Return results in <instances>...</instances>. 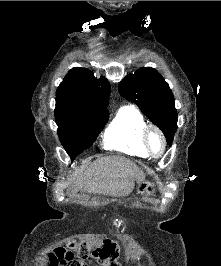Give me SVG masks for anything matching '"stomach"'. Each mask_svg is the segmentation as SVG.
I'll return each instance as SVG.
<instances>
[{
	"instance_id": "1",
	"label": "stomach",
	"mask_w": 221,
	"mask_h": 266,
	"mask_svg": "<svg viewBox=\"0 0 221 266\" xmlns=\"http://www.w3.org/2000/svg\"><path fill=\"white\" fill-rule=\"evenodd\" d=\"M155 191H156V188H155L154 184L151 183L149 180L143 179L138 183V187H137V194L138 195L150 196V195H154Z\"/></svg>"
}]
</instances>
